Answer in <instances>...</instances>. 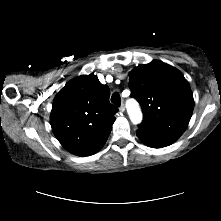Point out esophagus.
Here are the masks:
<instances>
[{
	"label": "esophagus",
	"mask_w": 221,
	"mask_h": 221,
	"mask_svg": "<svg viewBox=\"0 0 221 221\" xmlns=\"http://www.w3.org/2000/svg\"><path fill=\"white\" fill-rule=\"evenodd\" d=\"M119 110H120L121 113H123L125 111V107H124L123 104L120 106Z\"/></svg>",
	"instance_id": "obj_1"
}]
</instances>
